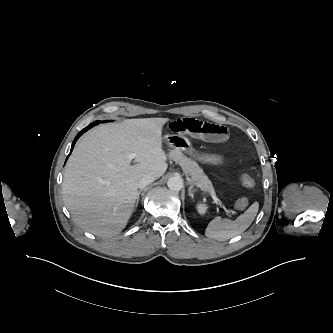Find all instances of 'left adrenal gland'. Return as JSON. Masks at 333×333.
I'll return each mask as SVG.
<instances>
[{"mask_svg":"<svg viewBox=\"0 0 333 333\" xmlns=\"http://www.w3.org/2000/svg\"><path fill=\"white\" fill-rule=\"evenodd\" d=\"M194 192H196V190L193 189V185L190 183V187H189V190H188V195H189L191 198H194Z\"/></svg>","mask_w":333,"mask_h":333,"instance_id":"left-adrenal-gland-1","label":"left adrenal gland"}]
</instances>
